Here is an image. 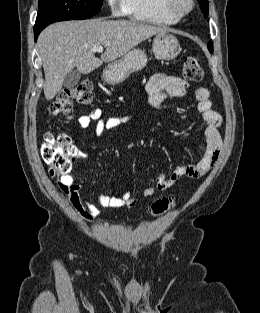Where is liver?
I'll use <instances>...</instances> for the list:
<instances>
[{"label": "liver", "instance_id": "6515ba94", "mask_svg": "<svg viewBox=\"0 0 260 313\" xmlns=\"http://www.w3.org/2000/svg\"><path fill=\"white\" fill-rule=\"evenodd\" d=\"M166 27L134 20L90 19L57 22L40 34L37 47L45 73L44 95L52 100L62 89L65 75L75 67L88 74L103 62L114 61L135 46L158 33H167ZM104 46L100 59L94 48Z\"/></svg>", "mask_w": 260, "mask_h": 313}]
</instances>
